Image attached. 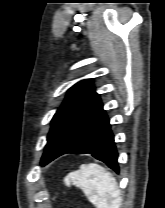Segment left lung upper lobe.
Here are the masks:
<instances>
[{"label": "left lung upper lobe", "mask_w": 165, "mask_h": 208, "mask_svg": "<svg viewBox=\"0 0 165 208\" xmlns=\"http://www.w3.org/2000/svg\"><path fill=\"white\" fill-rule=\"evenodd\" d=\"M91 81L82 80L68 90L66 99L51 121L41 165L65 154L83 125L103 107Z\"/></svg>", "instance_id": "5c2ea615"}]
</instances>
